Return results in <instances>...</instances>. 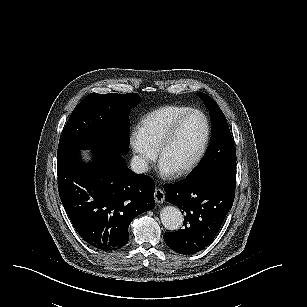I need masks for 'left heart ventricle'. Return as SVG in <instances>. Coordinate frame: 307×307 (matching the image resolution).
Listing matches in <instances>:
<instances>
[{"label":"left heart ventricle","instance_id":"obj_1","mask_svg":"<svg viewBox=\"0 0 307 307\" xmlns=\"http://www.w3.org/2000/svg\"><path fill=\"white\" fill-rule=\"evenodd\" d=\"M199 130L198 120L191 117L178 128L175 141L166 148L165 157L171 164H187L198 150L202 133Z\"/></svg>","mask_w":307,"mask_h":307}]
</instances>
